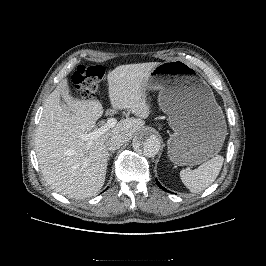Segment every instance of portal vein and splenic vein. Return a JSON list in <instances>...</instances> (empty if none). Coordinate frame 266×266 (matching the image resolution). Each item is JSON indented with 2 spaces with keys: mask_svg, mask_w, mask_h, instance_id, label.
Here are the masks:
<instances>
[{
  "mask_svg": "<svg viewBox=\"0 0 266 266\" xmlns=\"http://www.w3.org/2000/svg\"><path fill=\"white\" fill-rule=\"evenodd\" d=\"M117 123V120L115 118H109L107 120V123L101 126L98 129H95L93 132L89 134H81L80 137L87 141L89 144L92 143L93 140L103 135L105 132H107L110 128H113Z\"/></svg>",
  "mask_w": 266,
  "mask_h": 266,
  "instance_id": "18ae733b",
  "label": "portal vein and splenic vein"
}]
</instances>
